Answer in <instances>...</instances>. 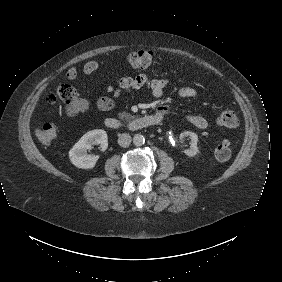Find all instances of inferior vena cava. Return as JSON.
<instances>
[{"mask_svg":"<svg viewBox=\"0 0 282 282\" xmlns=\"http://www.w3.org/2000/svg\"><path fill=\"white\" fill-rule=\"evenodd\" d=\"M131 143V136L127 133H123L118 137V144L121 147H128Z\"/></svg>","mask_w":282,"mask_h":282,"instance_id":"inferior-vena-cava-1","label":"inferior vena cava"}]
</instances>
